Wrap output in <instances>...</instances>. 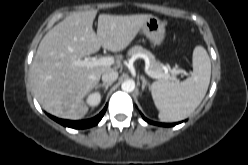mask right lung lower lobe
I'll use <instances>...</instances> for the list:
<instances>
[{"label": "right lung lower lobe", "instance_id": "1", "mask_svg": "<svg viewBox=\"0 0 248 165\" xmlns=\"http://www.w3.org/2000/svg\"><path fill=\"white\" fill-rule=\"evenodd\" d=\"M105 111H106V107L94 118L88 119V120H81V121L80 120L79 121L63 120V119H58L51 115H48V116L65 127H71L75 129H84V128H89V127L97 125L99 121L102 119Z\"/></svg>", "mask_w": 248, "mask_h": 165}]
</instances>
